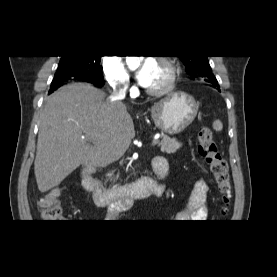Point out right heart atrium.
<instances>
[{
	"mask_svg": "<svg viewBox=\"0 0 277 277\" xmlns=\"http://www.w3.org/2000/svg\"><path fill=\"white\" fill-rule=\"evenodd\" d=\"M101 64L104 78L112 88L120 90L128 88L130 75L117 55H106Z\"/></svg>",
	"mask_w": 277,
	"mask_h": 277,
	"instance_id": "obj_1",
	"label": "right heart atrium"
}]
</instances>
